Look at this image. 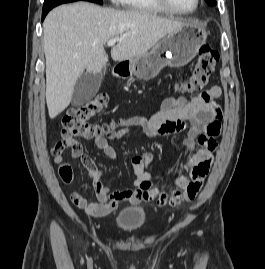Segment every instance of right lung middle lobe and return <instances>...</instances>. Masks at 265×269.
<instances>
[{
    "mask_svg": "<svg viewBox=\"0 0 265 269\" xmlns=\"http://www.w3.org/2000/svg\"><path fill=\"white\" fill-rule=\"evenodd\" d=\"M86 1L93 2V3H98V4H103L102 0H86Z\"/></svg>",
    "mask_w": 265,
    "mask_h": 269,
    "instance_id": "1",
    "label": "right lung middle lobe"
}]
</instances>
